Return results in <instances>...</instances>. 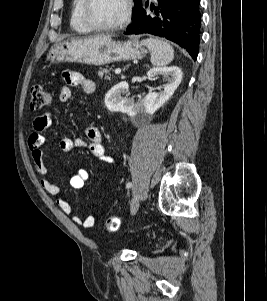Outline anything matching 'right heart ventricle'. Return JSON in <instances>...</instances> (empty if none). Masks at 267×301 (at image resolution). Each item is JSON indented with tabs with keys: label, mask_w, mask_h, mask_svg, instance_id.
I'll list each match as a JSON object with an SVG mask.
<instances>
[{
	"label": "right heart ventricle",
	"mask_w": 267,
	"mask_h": 301,
	"mask_svg": "<svg viewBox=\"0 0 267 301\" xmlns=\"http://www.w3.org/2000/svg\"><path fill=\"white\" fill-rule=\"evenodd\" d=\"M84 0H73L71 7L70 25L78 33H90L93 29L85 22L82 14Z\"/></svg>",
	"instance_id": "1"
}]
</instances>
